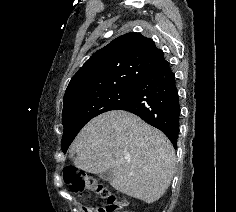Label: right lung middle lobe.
Wrapping results in <instances>:
<instances>
[{
  "instance_id": "right-lung-middle-lobe-1",
  "label": "right lung middle lobe",
  "mask_w": 236,
  "mask_h": 212,
  "mask_svg": "<svg viewBox=\"0 0 236 212\" xmlns=\"http://www.w3.org/2000/svg\"><path fill=\"white\" fill-rule=\"evenodd\" d=\"M135 86L117 88L72 101L63 107L61 147L65 153L82 127L95 116L116 110L132 95Z\"/></svg>"
}]
</instances>
